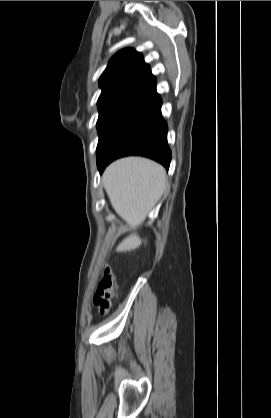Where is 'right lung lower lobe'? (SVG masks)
<instances>
[{"label": "right lung lower lobe", "instance_id": "right-lung-lower-lobe-1", "mask_svg": "<svg viewBox=\"0 0 271 418\" xmlns=\"http://www.w3.org/2000/svg\"><path fill=\"white\" fill-rule=\"evenodd\" d=\"M168 127L161 114V103L122 130L97 157L100 172L113 160L127 155H141L161 163L166 169L171 161L167 143Z\"/></svg>", "mask_w": 271, "mask_h": 418}]
</instances>
